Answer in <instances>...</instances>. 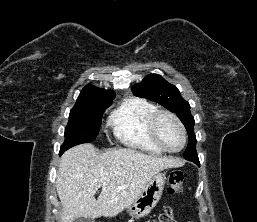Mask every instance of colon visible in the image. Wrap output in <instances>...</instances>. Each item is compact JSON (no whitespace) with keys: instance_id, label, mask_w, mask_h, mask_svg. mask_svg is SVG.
Instances as JSON below:
<instances>
[{"instance_id":"obj_1","label":"colon","mask_w":257,"mask_h":222,"mask_svg":"<svg viewBox=\"0 0 257 222\" xmlns=\"http://www.w3.org/2000/svg\"><path fill=\"white\" fill-rule=\"evenodd\" d=\"M185 174L181 169H174L168 176L167 192L171 196H178L183 192V184ZM156 222H176V218L172 209H165L159 216Z\"/></svg>"}]
</instances>
